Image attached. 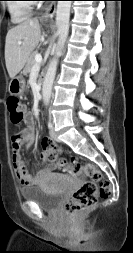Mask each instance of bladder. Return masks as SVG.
<instances>
[{"label":"bladder","instance_id":"bladder-1","mask_svg":"<svg viewBox=\"0 0 133 253\" xmlns=\"http://www.w3.org/2000/svg\"><path fill=\"white\" fill-rule=\"evenodd\" d=\"M21 197L36 204L41 210L46 212L55 211L61 203L62 193L50 191L40 185H30L20 189Z\"/></svg>","mask_w":133,"mask_h":253}]
</instances>
